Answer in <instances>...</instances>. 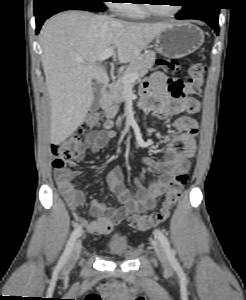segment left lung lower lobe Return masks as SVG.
Returning <instances> with one entry per match:
<instances>
[{
  "label": "left lung lower lobe",
  "mask_w": 246,
  "mask_h": 300,
  "mask_svg": "<svg viewBox=\"0 0 246 300\" xmlns=\"http://www.w3.org/2000/svg\"><path fill=\"white\" fill-rule=\"evenodd\" d=\"M219 7L214 0H190L176 14L177 19H199L206 22L216 34H219Z\"/></svg>",
  "instance_id": "0a47b994"
}]
</instances>
